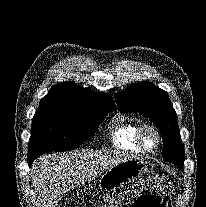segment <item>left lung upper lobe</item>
Instances as JSON below:
<instances>
[{"label":"left lung upper lobe","instance_id":"obj_1","mask_svg":"<svg viewBox=\"0 0 206 207\" xmlns=\"http://www.w3.org/2000/svg\"><path fill=\"white\" fill-rule=\"evenodd\" d=\"M115 97L119 111L138 112L159 127L164 145L162 156L178 168L183 167L184 146L180 137L177 114L168 93L152 83L144 82L131 85Z\"/></svg>","mask_w":206,"mask_h":207}]
</instances>
